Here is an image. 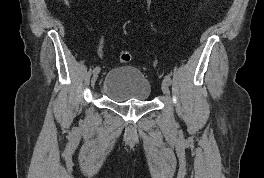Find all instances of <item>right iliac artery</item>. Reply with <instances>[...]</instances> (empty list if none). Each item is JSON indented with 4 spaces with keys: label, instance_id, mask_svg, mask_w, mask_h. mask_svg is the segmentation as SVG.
Returning a JSON list of instances; mask_svg holds the SVG:
<instances>
[{
    "label": "right iliac artery",
    "instance_id": "obj_1",
    "mask_svg": "<svg viewBox=\"0 0 264 178\" xmlns=\"http://www.w3.org/2000/svg\"><path fill=\"white\" fill-rule=\"evenodd\" d=\"M100 72V67H95L94 69H93V73L95 74V73H99Z\"/></svg>",
    "mask_w": 264,
    "mask_h": 178
}]
</instances>
